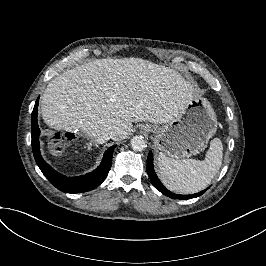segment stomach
Segmentation results:
<instances>
[{"label":"stomach","instance_id":"0dacf381","mask_svg":"<svg viewBox=\"0 0 266 266\" xmlns=\"http://www.w3.org/2000/svg\"><path fill=\"white\" fill-rule=\"evenodd\" d=\"M216 113L205 98L193 99L190 105L171 122L161 127L145 124L157 132L155 146L172 159L190 157L202 152L217 130Z\"/></svg>","mask_w":266,"mask_h":266}]
</instances>
